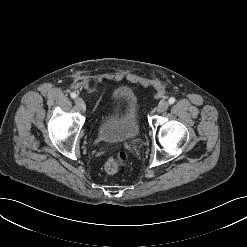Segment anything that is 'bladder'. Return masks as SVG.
<instances>
[{
    "instance_id": "31cf9c89",
    "label": "bladder",
    "mask_w": 247,
    "mask_h": 247,
    "mask_svg": "<svg viewBox=\"0 0 247 247\" xmlns=\"http://www.w3.org/2000/svg\"><path fill=\"white\" fill-rule=\"evenodd\" d=\"M113 102L114 109L99 123V137L110 143L135 139L140 131L136 97L128 88H119L114 92Z\"/></svg>"
}]
</instances>
